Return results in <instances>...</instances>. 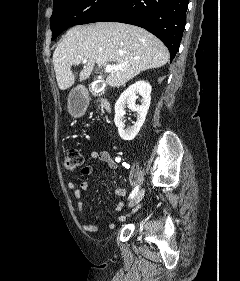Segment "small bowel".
<instances>
[{
    "instance_id": "c3829d8e",
    "label": "small bowel",
    "mask_w": 240,
    "mask_h": 281,
    "mask_svg": "<svg viewBox=\"0 0 240 281\" xmlns=\"http://www.w3.org/2000/svg\"><path fill=\"white\" fill-rule=\"evenodd\" d=\"M90 158L93 160H100L101 162H103L105 164V166L107 168L112 169V170H114L118 167L117 161L108 152H105V151L93 150L90 152ZM80 174L85 177L91 176L93 174L92 166L86 165V166L82 167L80 170ZM67 187L69 190H71L73 192L74 197L77 202L78 214L80 217H82V215H83L82 192L86 191L88 189V182L83 181L78 185L75 181H69L67 183ZM114 191H115L116 195L121 196V197H124L128 192V190L126 188H123L120 186H116ZM123 207H124V203L119 202L113 208V211L120 212L123 209ZM118 220L124 221L125 216H119ZM114 226H115L114 223H108L104 227H100L93 223H83V228L86 231L91 232V233L112 230L114 228Z\"/></svg>"
}]
</instances>
